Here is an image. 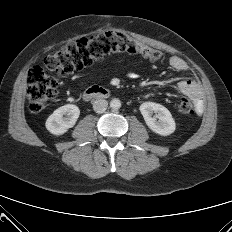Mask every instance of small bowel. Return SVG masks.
<instances>
[{"instance_id":"c3829d8e","label":"small bowel","mask_w":232,"mask_h":232,"mask_svg":"<svg viewBox=\"0 0 232 232\" xmlns=\"http://www.w3.org/2000/svg\"><path fill=\"white\" fill-rule=\"evenodd\" d=\"M169 64L171 69L174 71L182 72V73L189 72V66L187 62L179 56L170 57ZM129 76L131 78H135L137 75L136 73L131 72L129 73ZM177 90L180 94L185 95L194 101L198 112L202 111L203 93L199 84L192 76H188L182 79L177 85Z\"/></svg>"}]
</instances>
